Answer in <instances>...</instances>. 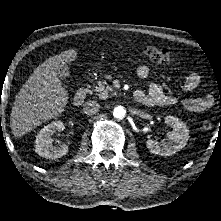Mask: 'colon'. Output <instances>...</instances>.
Here are the masks:
<instances>
[{
    "label": "colon",
    "instance_id": "1",
    "mask_svg": "<svg viewBox=\"0 0 221 221\" xmlns=\"http://www.w3.org/2000/svg\"><path fill=\"white\" fill-rule=\"evenodd\" d=\"M143 54L150 61L159 63V64H170L173 63L175 58L173 54L167 49H161L154 46H147L143 49ZM204 129H211L212 123L208 120L203 122Z\"/></svg>",
    "mask_w": 221,
    "mask_h": 221
}]
</instances>
